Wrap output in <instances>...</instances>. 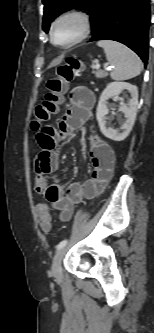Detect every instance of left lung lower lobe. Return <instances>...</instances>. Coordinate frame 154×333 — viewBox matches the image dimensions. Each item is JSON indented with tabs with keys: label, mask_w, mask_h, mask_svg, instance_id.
Segmentation results:
<instances>
[{
	"label": "left lung lower lobe",
	"mask_w": 154,
	"mask_h": 333,
	"mask_svg": "<svg viewBox=\"0 0 154 333\" xmlns=\"http://www.w3.org/2000/svg\"><path fill=\"white\" fill-rule=\"evenodd\" d=\"M90 41L114 40L148 59L149 0H98L92 10Z\"/></svg>",
	"instance_id": "left-lung-lower-lobe-1"
}]
</instances>
